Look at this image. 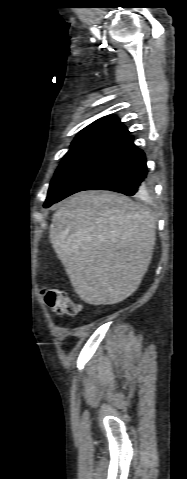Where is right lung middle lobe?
<instances>
[{"mask_svg":"<svg viewBox=\"0 0 187 479\" xmlns=\"http://www.w3.org/2000/svg\"><path fill=\"white\" fill-rule=\"evenodd\" d=\"M127 136L126 132L103 127H88L81 130L51 181L44 207L51 205L79 174Z\"/></svg>","mask_w":187,"mask_h":479,"instance_id":"right-lung-middle-lobe-1","label":"right lung middle lobe"}]
</instances>
